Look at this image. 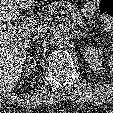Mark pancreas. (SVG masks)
<instances>
[{
  "label": "pancreas",
  "instance_id": "cf45deb5",
  "mask_svg": "<svg viewBox=\"0 0 113 113\" xmlns=\"http://www.w3.org/2000/svg\"><path fill=\"white\" fill-rule=\"evenodd\" d=\"M58 7L67 8V11L72 15L74 22L78 26L83 27L84 23H83V18L80 11L69 2L63 1V0H55L51 4L46 5V8H48L50 12L54 11Z\"/></svg>",
  "mask_w": 113,
  "mask_h": 113
}]
</instances>
